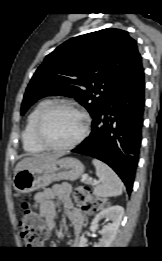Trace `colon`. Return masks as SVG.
<instances>
[{
    "label": "colon",
    "instance_id": "obj_1",
    "mask_svg": "<svg viewBox=\"0 0 162 261\" xmlns=\"http://www.w3.org/2000/svg\"><path fill=\"white\" fill-rule=\"evenodd\" d=\"M74 203L84 213L92 214L105 206V200L91 193L88 187H77L73 192ZM23 215L19 221L21 237L28 247H39L47 239V233L39 215L29 207L28 203L22 204Z\"/></svg>",
    "mask_w": 162,
    "mask_h": 261
}]
</instances>
